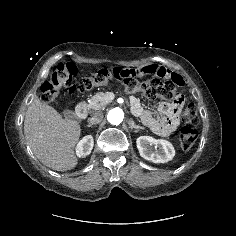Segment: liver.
I'll use <instances>...</instances> for the list:
<instances>
[{"label": "liver", "mask_w": 236, "mask_h": 236, "mask_svg": "<svg viewBox=\"0 0 236 236\" xmlns=\"http://www.w3.org/2000/svg\"><path fill=\"white\" fill-rule=\"evenodd\" d=\"M24 134L35 156L47 167L67 171L78 164L74 148L81 134L79 123L63 119L38 97H33L27 108Z\"/></svg>", "instance_id": "liver-1"}]
</instances>
